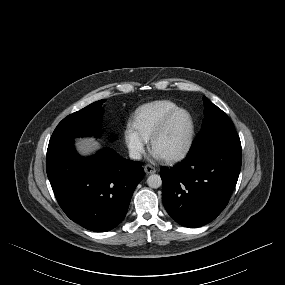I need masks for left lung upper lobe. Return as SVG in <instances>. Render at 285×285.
Returning a JSON list of instances; mask_svg holds the SVG:
<instances>
[{
  "instance_id": "left-lung-upper-lobe-1",
  "label": "left lung upper lobe",
  "mask_w": 285,
  "mask_h": 285,
  "mask_svg": "<svg viewBox=\"0 0 285 285\" xmlns=\"http://www.w3.org/2000/svg\"><path fill=\"white\" fill-rule=\"evenodd\" d=\"M203 101L205 109L202 128L194 140L188 156L212 148L241 145L230 118L205 96Z\"/></svg>"
}]
</instances>
